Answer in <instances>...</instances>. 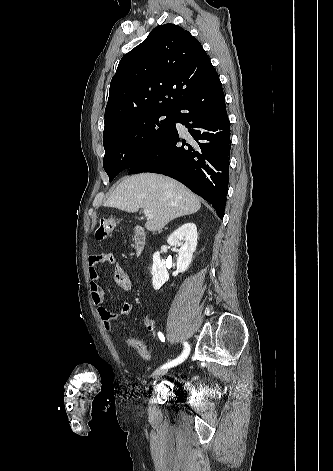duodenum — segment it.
<instances>
[{"label": "duodenum", "mask_w": 333, "mask_h": 471, "mask_svg": "<svg viewBox=\"0 0 333 471\" xmlns=\"http://www.w3.org/2000/svg\"><path fill=\"white\" fill-rule=\"evenodd\" d=\"M146 243V238L143 230L141 228H137L134 234V244L136 253L139 255L143 251Z\"/></svg>", "instance_id": "obj_1"}]
</instances>
